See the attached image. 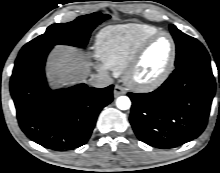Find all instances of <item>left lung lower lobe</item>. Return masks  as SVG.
<instances>
[{"instance_id": "obj_1", "label": "left lung lower lobe", "mask_w": 220, "mask_h": 173, "mask_svg": "<svg viewBox=\"0 0 220 173\" xmlns=\"http://www.w3.org/2000/svg\"><path fill=\"white\" fill-rule=\"evenodd\" d=\"M214 94L210 62L176 68L157 90L128 93L130 123L137 137L150 146L169 149L183 145L205 129Z\"/></svg>"}]
</instances>
